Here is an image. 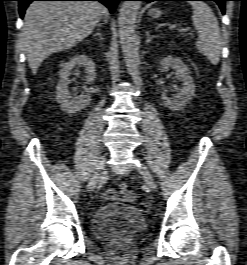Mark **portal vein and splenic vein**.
Instances as JSON below:
<instances>
[{"label":"portal vein and splenic vein","mask_w":247,"mask_h":265,"mask_svg":"<svg viewBox=\"0 0 247 265\" xmlns=\"http://www.w3.org/2000/svg\"><path fill=\"white\" fill-rule=\"evenodd\" d=\"M173 27H175V26H173ZM187 31V29H185V28H180L179 29V32H186Z\"/></svg>","instance_id":"portal-vein-and-splenic-vein-1"}]
</instances>
